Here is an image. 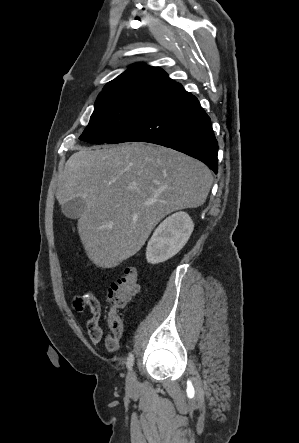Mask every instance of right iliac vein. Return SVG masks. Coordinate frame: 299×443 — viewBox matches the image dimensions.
<instances>
[{
	"label": "right iliac vein",
	"mask_w": 299,
	"mask_h": 443,
	"mask_svg": "<svg viewBox=\"0 0 299 443\" xmlns=\"http://www.w3.org/2000/svg\"><path fill=\"white\" fill-rule=\"evenodd\" d=\"M126 385L129 390H134L137 386L136 374H135L134 370H132V369L129 371V373L127 375Z\"/></svg>",
	"instance_id": "63e3f726"
}]
</instances>
